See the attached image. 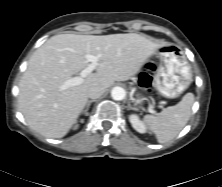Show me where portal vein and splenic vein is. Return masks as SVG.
<instances>
[{
	"label": "portal vein and splenic vein",
	"instance_id": "1",
	"mask_svg": "<svg viewBox=\"0 0 222 187\" xmlns=\"http://www.w3.org/2000/svg\"><path fill=\"white\" fill-rule=\"evenodd\" d=\"M85 58L87 59L88 62H90V64L81 71L80 76L78 77H73L70 78L69 80L65 81L62 85V89H67L69 87L72 86H76L79 85L83 82L84 78L89 75L94 69H96V67L99 65L98 62V57L91 55V54H86ZM150 112H154V110L152 108L149 109Z\"/></svg>",
	"mask_w": 222,
	"mask_h": 187
}]
</instances>
